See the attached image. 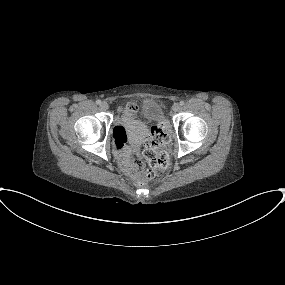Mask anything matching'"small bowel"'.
<instances>
[{"instance_id": "small-bowel-1", "label": "small bowel", "mask_w": 285, "mask_h": 285, "mask_svg": "<svg viewBox=\"0 0 285 285\" xmlns=\"http://www.w3.org/2000/svg\"><path fill=\"white\" fill-rule=\"evenodd\" d=\"M123 134H124L123 126L122 125L117 126L113 134L114 145L118 156L123 161V166L126 174L129 175L130 177H135L136 173L132 169V163L129 161L131 148L128 145H122L119 142V137L122 136Z\"/></svg>"}]
</instances>
